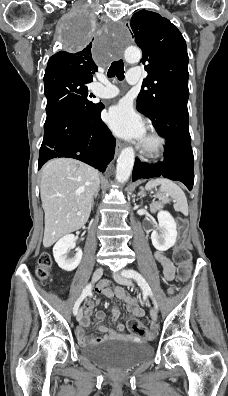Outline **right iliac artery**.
<instances>
[{
	"instance_id": "obj_1",
	"label": "right iliac artery",
	"mask_w": 228,
	"mask_h": 396,
	"mask_svg": "<svg viewBox=\"0 0 228 396\" xmlns=\"http://www.w3.org/2000/svg\"><path fill=\"white\" fill-rule=\"evenodd\" d=\"M91 290H92V285H91V284H88V285L84 288V290H83L81 296L77 299V301H76V303H75V305H74V307H73V314H74V315L77 314L81 302L83 301V299H84L85 297H87V296L90 294Z\"/></svg>"
}]
</instances>
